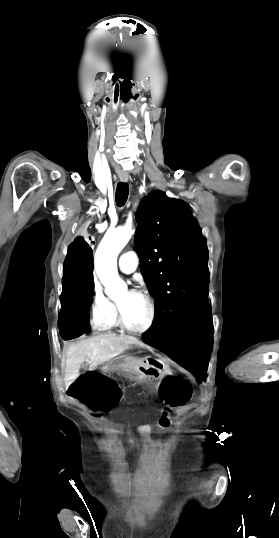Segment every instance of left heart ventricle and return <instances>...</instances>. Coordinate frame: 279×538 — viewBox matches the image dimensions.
Masks as SVG:
<instances>
[{
    "label": "left heart ventricle",
    "instance_id": "obj_1",
    "mask_svg": "<svg viewBox=\"0 0 279 538\" xmlns=\"http://www.w3.org/2000/svg\"><path fill=\"white\" fill-rule=\"evenodd\" d=\"M121 302L127 323L133 328H141L148 318V306L139 295L123 290L117 297Z\"/></svg>",
    "mask_w": 279,
    "mask_h": 538
}]
</instances>
